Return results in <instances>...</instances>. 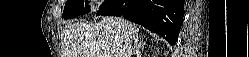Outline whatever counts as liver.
Here are the masks:
<instances>
[{"mask_svg": "<svg viewBox=\"0 0 249 57\" xmlns=\"http://www.w3.org/2000/svg\"><path fill=\"white\" fill-rule=\"evenodd\" d=\"M139 38L138 26L122 17L103 16L96 24L76 22L63 29L62 57H126Z\"/></svg>", "mask_w": 249, "mask_h": 57, "instance_id": "obj_1", "label": "liver"}]
</instances>
